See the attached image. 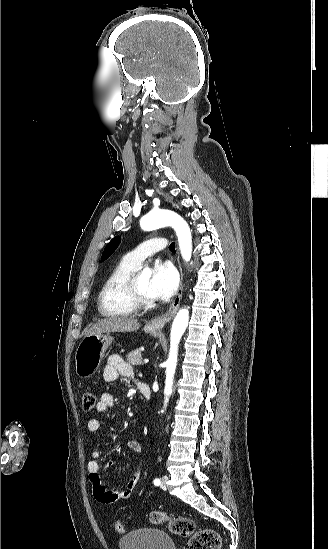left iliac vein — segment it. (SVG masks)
<instances>
[{
  "label": "left iliac vein",
  "instance_id": "4c4485c4",
  "mask_svg": "<svg viewBox=\"0 0 328 549\" xmlns=\"http://www.w3.org/2000/svg\"><path fill=\"white\" fill-rule=\"evenodd\" d=\"M166 482H167V476H163L162 479H161L160 487L164 490L167 488V483Z\"/></svg>",
  "mask_w": 328,
  "mask_h": 549
}]
</instances>
